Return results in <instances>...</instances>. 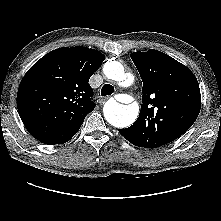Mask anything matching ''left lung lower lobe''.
I'll list each match as a JSON object with an SVG mask.
<instances>
[{
  "instance_id": "1",
  "label": "left lung lower lobe",
  "mask_w": 221,
  "mask_h": 221,
  "mask_svg": "<svg viewBox=\"0 0 221 221\" xmlns=\"http://www.w3.org/2000/svg\"><path fill=\"white\" fill-rule=\"evenodd\" d=\"M119 132L122 136H124L129 142L132 140V134L128 129H119Z\"/></svg>"
}]
</instances>
